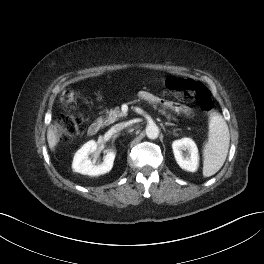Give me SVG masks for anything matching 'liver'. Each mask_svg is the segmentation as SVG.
Returning a JSON list of instances; mask_svg holds the SVG:
<instances>
[{
  "instance_id": "6515ba94",
  "label": "liver",
  "mask_w": 264,
  "mask_h": 264,
  "mask_svg": "<svg viewBox=\"0 0 264 264\" xmlns=\"http://www.w3.org/2000/svg\"><path fill=\"white\" fill-rule=\"evenodd\" d=\"M47 141L51 151L55 150L59 142V137L57 135V130L54 127H49L47 130Z\"/></svg>"
}]
</instances>
